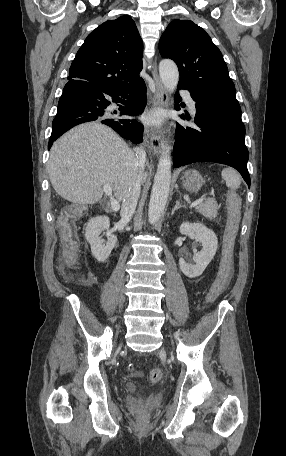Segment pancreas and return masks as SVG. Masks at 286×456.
<instances>
[{
    "label": "pancreas",
    "instance_id": "1",
    "mask_svg": "<svg viewBox=\"0 0 286 456\" xmlns=\"http://www.w3.org/2000/svg\"><path fill=\"white\" fill-rule=\"evenodd\" d=\"M220 206L214 199H210L204 203H201L195 207L196 211L202 214L204 217L209 219L216 218Z\"/></svg>",
    "mask_w": 286,
    "mask_h": 456
}]
</instances>
